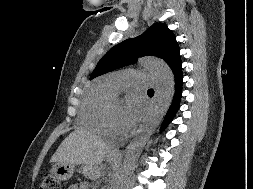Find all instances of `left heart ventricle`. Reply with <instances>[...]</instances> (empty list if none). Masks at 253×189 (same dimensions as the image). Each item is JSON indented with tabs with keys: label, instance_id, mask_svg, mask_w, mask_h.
<instances>
[{
	"label": "left heart ventricle",
	"instance_id": "obj_1",
	"mask_svg": "<svg viewBox=\"0 0 253 189\" xmlns=\"http://www.w3.org/2000/svg\"><path fill=\"white\" fill-rule=\"evenodd\" d=\"M122 110L123 106L120 103H113L110 105L112 124L118 130H125L121 121Z\"/></svg>",
	"mask_w": 253,
	"mask_h": 189
}]
</instances>
